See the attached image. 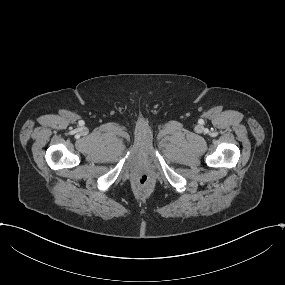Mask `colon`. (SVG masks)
<instances>
[{
    "instance_id": "obj_1",
    "label": "colon",
    "mask_w": 285,
    "mask_h": 285,
    "mask_svg": "<svg viewBox=\"0 0 285 285\" xmlns=\"http://www.w3.org/2000/svg\"><path fill=\"white\" fill-rule=\"evenodd\" d=\"M154 184V180L147 172H140L136 178V186L139 189L147 190Z\"/></svg>"
}]
</instances>
